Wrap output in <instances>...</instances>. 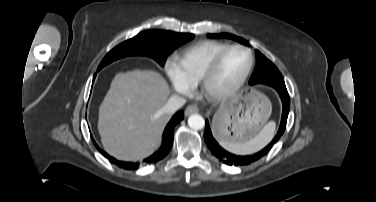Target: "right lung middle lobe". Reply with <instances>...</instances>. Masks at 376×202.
Masks as SVG:
<instances>
[{"instance_id":"1","label":"right lung middle lobe","mask_w":376,"mask_h":202,"mask_svg":"<svg viewBox=\"0 0 376 202\" xmlns=\"http://www.w3.org/2000/svg\"><path fill=\"white\" fill-rule=\"evenodd\" d=\"M193 39V34L163 30L144 31L113 48L102 60L97 71L112 61L130 55H146L164 66L168 55Z\"/></svg>"}]
</instances>
